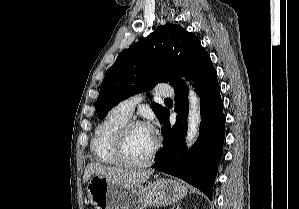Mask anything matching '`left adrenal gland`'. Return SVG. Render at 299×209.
I'll return each mask as SVG.
<instances>
[{"label":"left adrenal gland","mask_w":299,"mask_h":209,"mask_svg":"<svg viewBox=\"0 0 299 209\" xmlns=\"http://www.w3.org/2000/svg\"><path fill=\"white\" fill-rule=\"evenodd\" d=\"M171 209H181L180 207H179V205L177 206V207H173V208H171Z\"/></svg>","instance_id":"obj_1"}]
</instances>
